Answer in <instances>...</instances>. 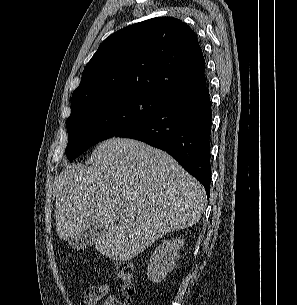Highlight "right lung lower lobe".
<instances>
[{
  "mask_svg": "<svg viewBox=\"0 0 297 305\" xmlns=\"http://www.w3.org/2000/svg\"><path fill=\"white\" fill-rule=\"evenodd\" d=\"M211 105L206 84L177 93L150 116L116 134L162 149L210 195Z\"/></svg>",
  "mask_w": 297,
  "mask_h": 305,
  "instance_id": "1",
  "label": "right lung lower lobe"
}]
</instances>
